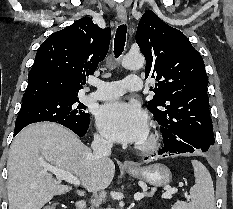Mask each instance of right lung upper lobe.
Masks as SVG:
<instances>
[{
  "label": "right lung upper lobe",
  "mask_w": 233,
  "mask_h": 209,
  "mask_svg": "<svg viewBox=\"0 0 233 209\" xmlns=\"http://www.w3.org/2000/svg\"><path fill=\"white\" fill-rule=\"evenodd\" d=\"M110 38V28H99L90 17L50 35L36 53L23 103L78 98L86 76L106 57Z\"/></svg>",
  "instance_id": "cb5924a9"
}]
</instances>
